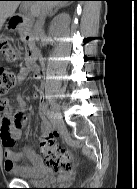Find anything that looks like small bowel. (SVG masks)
Returning a JSON list of instances; mask_svg holds the SVG:
<instances>
[{"label":"small bowel","mask_w":137,"mask_h":189,"mask_svg":"<svg viewBox=\"0 0 137 189\" xmlns=\"http://www.w3.org/2000/svg\"><path fill=\"white\" fill-rule=\"evenodd\" d=\"M31 72L27 67L22 68L20 78L24 79ZM32 73L35 79L39 80L41 78L38 72ZM25 110L26 102L21 96L16 97L15 108H12L7 100L0 99V140L4 147V169L9 174H28L41 163L40 156L31 149L26 148L22 153H17L13 150L15 141L21 137V128L25 123ZM19 118H21V126L16 127L15 124ZM43 133L47 137L54 132H51L49 127L45 125ZM23 157H27L31 165L21 163Z\"/></svg>","instance_id":"c3829d8e"}]
</instances>
